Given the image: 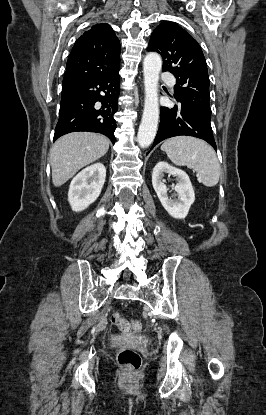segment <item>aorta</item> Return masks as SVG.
<instances>
[{
  "label": "aorta",
  "mask_w": 266,
  "mask_h": 415,
  "mask_svg": "<svg viewBox=\"0 0 266 415\" xmlns=\"http://www.w3.org/2000/svg\"><path fill=\"white\" fill-rule=\"evenodd\" d=\"M162 60L157 53H149L143 61L145 101L141 124L138 131V144L148 147L156 136L159 121L158 81Z\"/></svg>",
  "instance_id": "aorta-1"
}]
</instances>
